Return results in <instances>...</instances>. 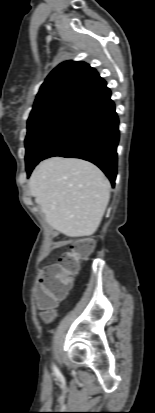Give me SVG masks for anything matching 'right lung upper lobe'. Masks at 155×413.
<instances>
[{
  "instance_id": "cb5924a9",
  "label": "right lung upper lobe",
  "mask_w": 155,
  "mask_h": 413,
  "mask_svg": "<svg viewBox=\"0 0 155 413\" xmlns=\"http://www.w3.org/2000/svg\"><path fill=\"white\" fill-rule=\"evenodd\" d=\"M106 87L94 68L82 61L58 65L42 84L28 122L56 108L79 105Z\"/></svg>"
}]
</instances>
